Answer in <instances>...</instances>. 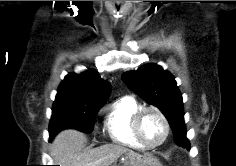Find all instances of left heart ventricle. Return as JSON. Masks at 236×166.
Segmentation results:
<instances>
[{
    "instance_id": "left-heart-ventricle-1",
    "label": "left heart ventricle",
    "mask_w": 236,
    "mask_h": 166,
    "mask_svg": "<svg viewBox=\"0 0 236 166\" xmlns=\"http://www.w3.org/2000/svg\"><path fill=\"white\" fill-rule=\"evenodd\" d=\"M164 124L157 114L148 112L141 121V133L150 144L160 142L164 136Z\"/></svg>"
}]
</instances>
